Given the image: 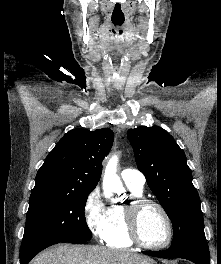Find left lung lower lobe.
<instances>
[{
	"instance_id": "left-lung-lower-lobe-1",
	"label": "left lung lower lobe",
	"mask_w": 221,
	"mask_h": 264,
	"mask_svg": "<svg viewBox=\"0 0 221 264\" xmlns=\"http://www.w3.org/2000/svg\"><path fill=\"white\" fill-rule=\"evenodd\" d=\"M143 253L159 258H183L195 264H210L209 248L206 240L187 241L173 245L164 251H143Z\"/></svg>"
}]
</instances>
